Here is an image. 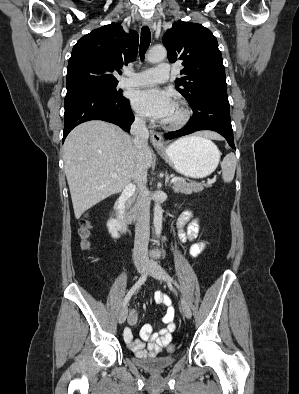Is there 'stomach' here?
<instances>
[{"mask_svg": "<svg viewBox=\"0 0 299 394\" xmlns=\"http://www.w3.org/2000/svg\"><path fill=\"white\" fill-rule=\"evenodd\" d=\"M158 152L177 172L191 178L210 175L220 160L217 146L196 136L179 139Z\"/></svg>", "mask_w": 299, "mask_h": 394, "instance_id": "1", "label": "stomach"}]
</instances>
